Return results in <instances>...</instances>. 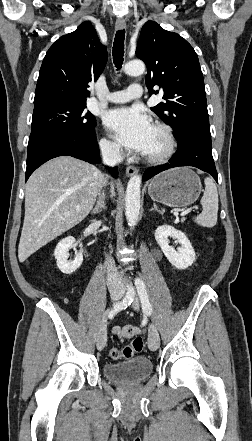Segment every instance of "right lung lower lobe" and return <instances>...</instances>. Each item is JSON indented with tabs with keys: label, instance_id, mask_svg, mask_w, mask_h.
<instances>
[{
	"label": "right lung lower lobe",
	"instance_id": "1",
	"mask_svg": "<svg viewBox=\"0 0 252 441\" xmlns=\"http://www.w3.org/2000/svg\"><path fill=\"white\" fill-rule=\"evenodd\" d=\"M69 155L91 164L99 161V148L95 136V128L89 133L46 132L30 136L27 154L26 181L40 165L46 161ZM118 176L117 168L111 171Z\"/></svg>",
	"mask_w": 252,
	"mask_h": 441
}]
</instances>
